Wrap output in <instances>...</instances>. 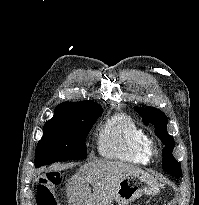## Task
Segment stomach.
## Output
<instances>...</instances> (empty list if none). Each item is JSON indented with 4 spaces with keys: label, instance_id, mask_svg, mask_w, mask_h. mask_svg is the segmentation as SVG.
Wrapping results in <instances>:
<instances>
[{
    "label": "stomach",
    "instance_id": "stomach-1",
    "mask_svg": "<svg viewBox=\"0 0 199 205\" xmlns=\"http://www.w3.org/2000/svg\"><path fill=\"white\" fill-rule=\"evenodd\" d=\"M159 190V183L150 174H129L120 182L115 201L118 205H127L142 194L154 196Z\"/></svg>",
    "mask_w": 199,
    "mask_h": 205
}]
</instances>
